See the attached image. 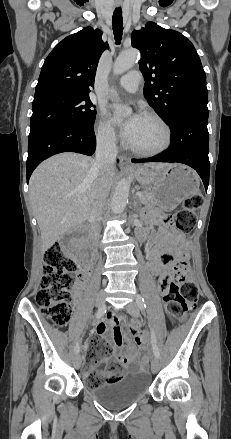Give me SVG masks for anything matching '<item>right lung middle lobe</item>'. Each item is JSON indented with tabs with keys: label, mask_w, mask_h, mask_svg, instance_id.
I'll return each mask as SVG.
<instances>
[{
	"label": "right lung middle lobe",
	"mask_w": 231,
	"mask_h": 439,
	"mask_svg": "<svg viewBox=\"0 0 231 439\" xmlns=\"http://www.w3.org/2000/svg\"><path fill=\"white\" fill-rule=\"evenodd\" d=\"M88 95L54 93L34 99L30 132L57 122L71 121L93 126L96 111Z\"/></svg>",
	"instance_id": "right-lung-middle-lobe-1"
}]
</instances>
